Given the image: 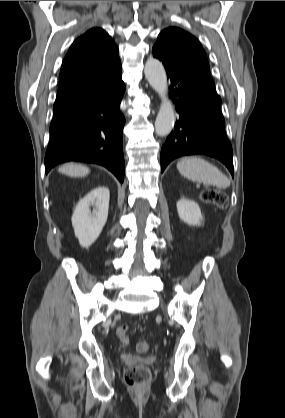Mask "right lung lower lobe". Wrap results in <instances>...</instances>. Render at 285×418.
I'll return each mask as SVG.
<instances>
[{
	"label": "right lung lower lobe",
	"instance_id": "98d812e1",
	"mask_svg": "<svg viewBox=\"0 0 285 418\" xmlns=\"http://www.w3.org/2000/svg\"><path fill=\"white\" fill-rule=\"evenodd\" d=\"M124 91L119 76L82 99L54 110L45 155L46 174L60 163L80 161L102 165L123 182L125 118L119 106Z\"/></svg>",
	"mask_w": 285,
	"mask_h": 418
}]
</instances>
